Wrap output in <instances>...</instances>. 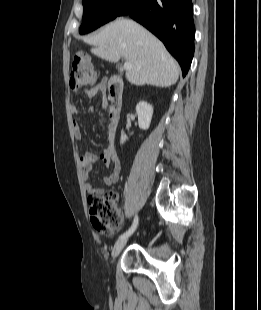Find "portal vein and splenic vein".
I'll return each instance as SVG.
<instances>
[{
	"label": "portal vein and splenic vein",
	"instance_id": "1",
	"mask_svg": "<svg viewBox=\"0 0 261 310\" xmlns=\"http://www.w3.org/2000/svg\"><path fill=\"white\" fill-rule=\"evenodd\" d=\"M123 68H124L125 70H128V69L131 68V65H130L129 63L126 62V63H124Z\"/></svg>",
	"mask_w": 261,
	"mask_h": 310
}]
</instances>
